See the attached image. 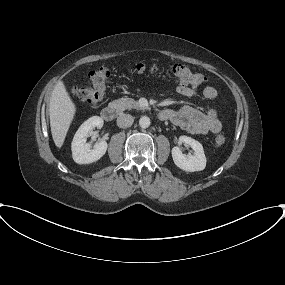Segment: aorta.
Wrapping results in <instances>:
<instances>
[{
	"mask_svg": "<svg viewBox=\"0 0 285 285\" xmlns=\"http://www.w3.org/2000/svg\"><path fill=\"white\" fill-rule=\"evenodd\" d=\"M150 118L147 116H142L139 119V125L141 128H148L150 126Z\"/></svg>",
	"mask_w": 285,
	"mask_h": 285,
	"instance_id": "aorta-1",
	"label": "aorta"
}]
</instances>
